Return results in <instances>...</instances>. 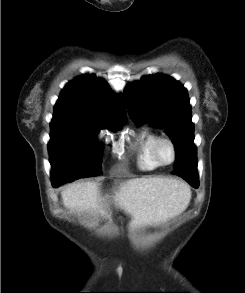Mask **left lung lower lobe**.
I'll return each mask as SVG.
<instances>
[{
    "label": "left lung lower lobe",
    "mask_w": 245,
    "mask_h": 293,
    "mask_svg": "<svg viewBox=\"0 0 245 293\" xmlns=\"http://www.w3.org/2000/svg\"><path fill=\"white\" fill-rule=\"evenodd\" d=\"M176 175L182 177L192 187H194V188H198L199 187L198 176H194V175H191V174H176Z\"/></svg>",
    "instance_id": "1"
}]
</instances>
